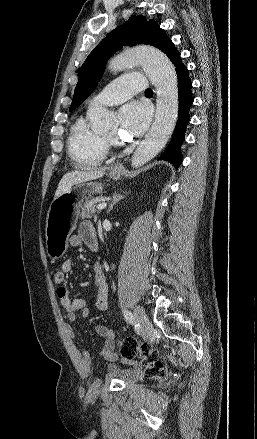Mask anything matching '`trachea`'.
<instances>
[{"mask_svg": "<svg viewBox=\"0 0 257 439\" xmlns=\"http://www.w3.org/2000/svg\"><path fill=\"white\" fill-rule=\"evenodd\" d=\"M145 93H152V90L149 88L145 91Z\"/></svg>", "mask_w": 257, "mask_h": 439, "instance_id": "3493384b", "label": "trachea"}]
</instances>
